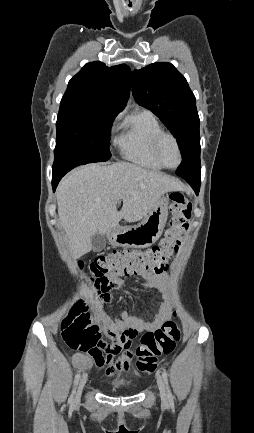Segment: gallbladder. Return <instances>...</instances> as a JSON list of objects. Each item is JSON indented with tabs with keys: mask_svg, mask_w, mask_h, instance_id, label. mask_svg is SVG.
<instances>
[{
	"mask_svg": "<svg viewBox=\"0 0 254 433\" xmlns=\"http://www.w3.org/2000/svg\"><path fill=\"white\" fill-rule=\"evenodd\" d=\"M92 250L99 252L103 250L106 246V238L104 235L96 233L91 238Z\"/></svg>",
	"mask_w": 254,
	"mask_h": 433,
	"instance_id": "gallbladder-1",
	"label": "gallbladder"
}]
</instances>
